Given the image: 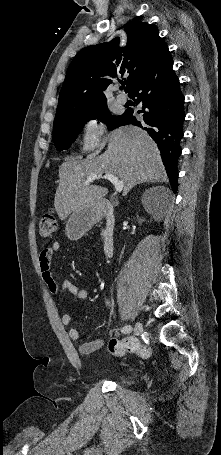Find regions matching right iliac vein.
<instances>
[{
  "instance_id": "1",
  "label": "right iliac vein",
  "mask_w": 221,
  "mask_h": 455,
  "mask_svg": "<svg viewBox=\"0 0 221 455\" xmlns=\"http://www.w3.org/2000/svg\"><path fill=\"white\" fill-rule=\"evenodd\" d=\"M143 333V325L140 322H137L134 327V334L140 335Z\"/></svg>"
}]
</instances>
